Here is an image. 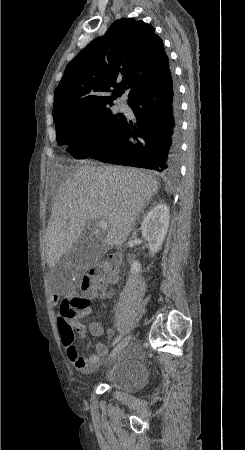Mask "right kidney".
Here are the masks:
<instances>
[{"mask_svg":"<svg viewBox=\"0 0 245 450\" xmlns=\"http://www.w3.org/2000/svg\"><path fill=\"white\" fill-rule=\"evenodd\" d=\"M169 227V208L165 204H158L144 217L141 223L143 237L148 241L150 255L154 256L162 246ZM141 271L138 261L131 264V273L137 274Z\"/></svg>","mask_w":245,"mask_h":450,"instance_id":"ca27d5eb","label":"right kidney"}]
</instances>
